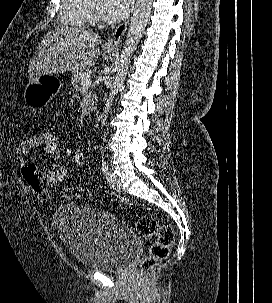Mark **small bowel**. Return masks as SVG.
Wrapping results in <instances>:
<instances>
[{"label": "small bowel", "mask_w": 272, "mask_h": 303, "mask_svg": "<svg viewBox=\"0 0 272 303\" xmlns=\"http://www.w3.org/2000/svg\"><path fill=\"white\" fill-rule=\"evenodd\" d=\"M42 148L46 155L52 160H59L61 158V151L59 148L45 149L41 146L36 135L30 136L21 141L17 147V162L20 166H25L24 155L32 150ZM40 177L46 188L50 185L60 183L67 178V170L64 167L56 166L44 171H40Z\"/></svg>", "instance_id": "1"}]
</instances>
